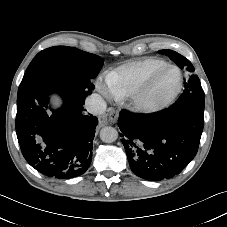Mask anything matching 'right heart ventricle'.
I'll list each match as a JSON object with an SVG mask.
<instances>
[{"label":"right heart ventricle","instance_id":"obj_1","mask_svg":"<svg viewBox=\"0 0 227 227\" xmlns=\"http://www.w3.org/2000/svg\"><path fill=\"white\" fill-rule=\"evenodd\" d=\"M168 65L165 60L144 58L119 66L106 76V84L116 98L130 96L157 70Z\"/></svg>","mask_w":227,"mask_h":227}]
</instances>
